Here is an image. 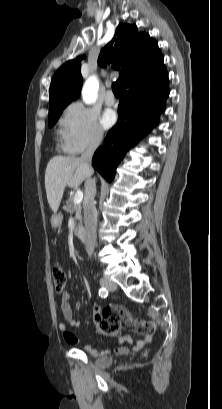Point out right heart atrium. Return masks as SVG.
Here are the masks:
<instances>
[{
    "mask_svg": "<svg viewBox=\"0 0 222 409\" xmlns=\"http://www.w3.org/2000/svg\"><path fill=\"white\" fill-rule=\"evenodd\" d=\"M60 127L63 147L70 153L96 148L104 139L97 114L79 102L72 103L65 109Z\"/></svg>",
    "mask_w": 222,
    "mask_h": 409,
    "instance_id": "1",
    "label": "right heart atrium"
}]
</instances>
